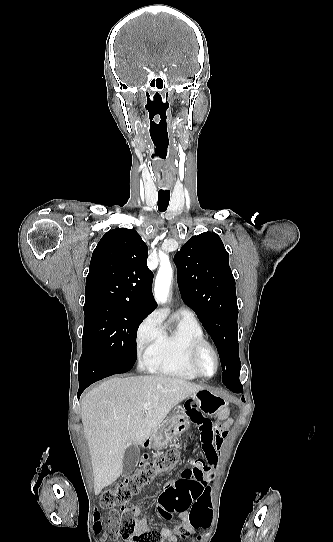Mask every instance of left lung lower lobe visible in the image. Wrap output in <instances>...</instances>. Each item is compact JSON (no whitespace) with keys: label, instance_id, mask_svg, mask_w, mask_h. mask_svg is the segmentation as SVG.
<instances>
[{"label":"left lung lower lobe","instance_id":"1","mask_svg":"<svg viewBox=\"0 0 333 542\" xmlns=\"http://www.w3.org/2000/svg\"><path fill=\"white\" fill-rule=\"evenodd\" d=\"M222 381L226 385V387L229 388L231 391L235 393H243V386L239 381V377L228 379V380H222Z\"/></svg>","mask_w":333,"mask_h":542}]
</instances>
